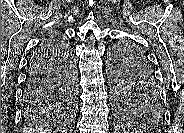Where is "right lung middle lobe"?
I'll list each match as a JSON object with an SVG mask.
<instances>
[{
    "label": "right lung middle lobe",
    "instance_id": "dd1d6c3e",
    "mask_svg": "<svg viewBox=\"0 0 184 133\" xmlns=\"http://www.w3.org/2000/svg\"><path fill=\"white\" fill-rule=\"evenodd\" d=\"M52 37L63 49L61 52V75L56 82L55 88L51 90L46 100H23V109L28 117L39 116L44 112L74 106L75 97V66L72 60L71 51L65 41L55 34Z\"/></svg>",
    "mask_w": 184,
    "mask_h": 133
}]
</instances>
